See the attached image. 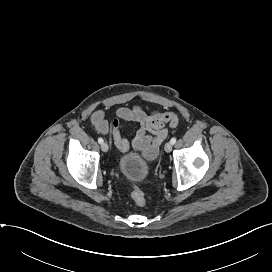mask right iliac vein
<instances>
[{
  "instance_id": "1",
  "label": "right iliac vein",
  "mask_w": 272,
  "mask_h": 272,
  "mask_svg": "<svg viewBox=\"0 0 272 272\" xmlns=\"http://www.w3.org/2000/svg\"><path fill=\"white\" fill-rule=\"evenodd\" d=\"M101 149H102L103 152H107L108 149H109L108 144L106 142L102 143L101 144Z\"/></svg>"
}]
</instances>
